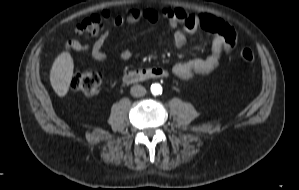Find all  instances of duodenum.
<instances>
[{"label":"duodenum","mask_w":299,"mask_h":190,"mask_svg":"<svg viewBox=\"0 0 299 190\" xmlns=\"http://www.w3.org/2000/svg\"><path fill=\"white\" fill-rule=\"evenodd\" d=\"M168 73L163 68L150 67L130 70L123 75L126 84H134L148 79L166 78Z\"/></svg>","instance_id":"1"}]
</instances>
